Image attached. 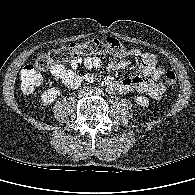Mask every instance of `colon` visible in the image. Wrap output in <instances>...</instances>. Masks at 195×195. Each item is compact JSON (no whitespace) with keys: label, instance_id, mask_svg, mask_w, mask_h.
Wrapping results in <instances>:
<instances>
[{"label":"colon","instance_id":"5ec220e1","mask_svg":"<svg viewBox=\"0 0 195 195\" xmlns=\"http://www.w3.org/2000/svg\"><path fill=\"white\" fill-rule=\"evenodd\" d=\"M113 54L119 58L131 57L130 49L125 48L121 42L114 37L106 39H92L80 44H71L65 47L54 49L44 53L36 60L25 65L20 73L21 89L25 93H31L43 82L40 71L48 70L56 64L69 61L79 55H103ZM165 82L168 86L174 87L177 77L173 71L165 72Z\"/></svg>","mask_w":195,"mask_h":195}]
</instances>
